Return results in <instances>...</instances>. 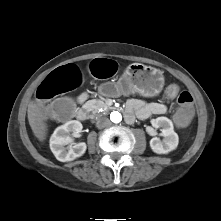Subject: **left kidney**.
<instances>
[{"mask_svg":"<svg viewBox=\"0 0 221 221\" xmlns=\"http://www.w3.org/2000/svg\"><path fill=\"white\" fill-rule=\"evenodd\" d=\"M154 128H161L163 140L154 137L150 140V147L157 154H168L175 150L179 143V137L174 131L172 121L167 117H158L151 120Z\"/></svg>","mask_w":221,"mask_h":221,"instance_id":"1","label":"left kidney"}]
</instances>
